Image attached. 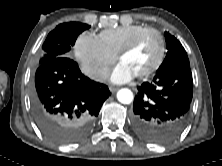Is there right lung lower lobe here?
<instances>
[{
    "label": "right lung lower lobe",
    "mask_w": 222,
    "mask_h": 166,
    "mask_svg": "<svg viewBox=\"0 0 222 166\" xmlns=\"http://www.w3.org/2000/svg\"><path fill=\"white\" fill-rule=\"evenodd\" d=\"M108 86L84 76L68 56L39 65L31 92L36 123L58 143L74 142L87 132L102 104Z\"/></svg>",
    "instance_id": "98d812e1"
}]
</instances>
